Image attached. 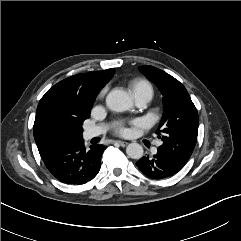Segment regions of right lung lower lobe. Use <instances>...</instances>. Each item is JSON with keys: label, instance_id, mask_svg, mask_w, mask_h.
<instances>
[{"label": "right lung lower lobe", "instance_id": "obj_1", "mask_svg": "<svg viewBox=\"0 0 241 241\" xmlns=\"http://www.w3.org/2000/svg\"><path fill=\"white\" fill-rule=\"evenodd\" d=\"M105 149L103 145L84 148L83 139L58 146L42 156L51 174L66 184H85L91 181L100 170V160Z\"/></svg>", "mask_w": 241, "mask_h": 241}]
</instances>
